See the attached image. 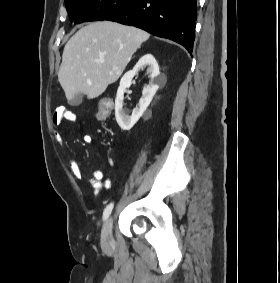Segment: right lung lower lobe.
<instances>
[{"label":"right lung lower lobe","instance_id":"obj_1","mask_svg":"<svg viewBox=\"0 0 280 283\" xmlns=\"http://www.w3.org/2000/svg\"><path fill=\"white\" fill-rule=\"evenodd\" d=\"M173 40L191 53L195 40L197 0H132L106 18Z\"/></svg>","mask_w":280,"mask_h":283}]
</instances>
